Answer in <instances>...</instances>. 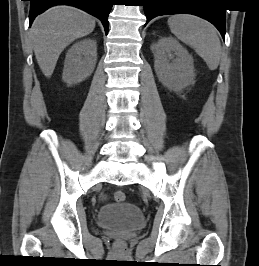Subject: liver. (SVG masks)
<instances>
[{
	"instance_id": "6515ba94",
	"label": "liver",
	"mask_w": 259,
	"mask_h": 266,
	"mask_svg": "<svg viewBox=\"0 0 259 266\" xmlns=\"http://www.w3.org/2000/svg\"><path fill=\"white\" fill-rule=\"evenodd\" d=\"M95 28V19L70 6H55L34 20L30 29L38 65L46 77H51L61 52L73 41Z\"/></svg>"
}]
</instances>
